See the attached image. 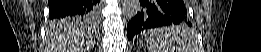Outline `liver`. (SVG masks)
<instances>
[{
	"mask_svg": "<svg viewBox=\"0 0 261 52\" xmlns=\"http://www.w3.org/2000/svg\"><path fill=\"white\" fill-rule=\"evenodd\" d=\"M84 37L86 34L84 31L76 30L73 25L61 26L59 24H50L48 32V38L51 40V44L59 48V52H85L83 48Z\"/></svg>",
	"mask_w": 261,
	"mask_h": 52,
	"instance_id": "6515ba94",
	"label": "liver"
}]
</instances>
